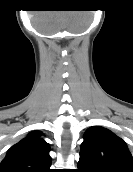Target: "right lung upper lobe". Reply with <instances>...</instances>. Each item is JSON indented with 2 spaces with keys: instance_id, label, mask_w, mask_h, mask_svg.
Masks as SVG:
<instances>
[{
  "instance_id": "cb5924a9",
  "label": "right lung upper lobe",
  "mask_w": 133,
  "mask_h": 172,
  "mask_svg": "<svg viewBox=\"0 0 133 172\" xmlns=\"http://www.w3.org/2000/svg\"><path fill=\"white\" fill-rule=\"evenodd\" d=\"M33 131L13 145L0 163V172H52L50 146Z\"/></svg>"
}]
</instances>
